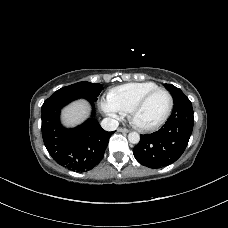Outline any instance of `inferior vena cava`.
Instances as JSON below:
<instances>
[{
	"mask_svg": "<svg viewBox=\"0 0 228 228\" xmlns=\"http://www.w3.org/2000/svg\"><path fill=\"white\" fill-rule=\"evenodd\" d=\"M100 124L101 127L106 131H114L119 126V122L113 118H104Z\"/></svg>",
	"mask_w": 228,
	"mask_h": 228,
	"instance_id": "obj_1",
	"label": "inferior vena cava"
}]
</instances>
